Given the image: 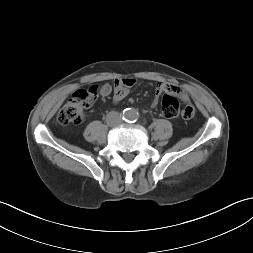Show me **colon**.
<instances>
[{
  "label": "colon",
  "instance_id": "obj_1",
  "mask_svg": "<svg viewBox=\"0 0 253 253\" xmlns=\"http://www.w3.org/2000/svg\"><path fill=\"white\" fill-rule=\"evenodd\" d=\"M98 95V89H79L64 103L58 112L57 119L63 125L80 124L87 109ZM161 108L164 117L175 119L180 116V104L174 94L167 93L162 97Z\"/></svg>",
  "mask_w": 253,
  "mask_h": 253
}]
</instances>
